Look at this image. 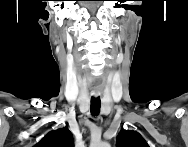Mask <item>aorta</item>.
Wrapping results in <instances>:
<instances>
[{
    "label": "aorta",
    "mask_w": 188,
    "mask_h": 147,
    "mask_svg": "<svg viewBox=\"0 0 188 147\" xmlns=\"http://www.w3.org/2000/svg\"><path fill=\"white\" fill-rule=\"evenodd\" d=\"M100 146H101V147H108L109 144H108L107 142H103V143L100 144Z\"/></svg>",
    "instance_id": "762f6f07"
}]
</instances>
